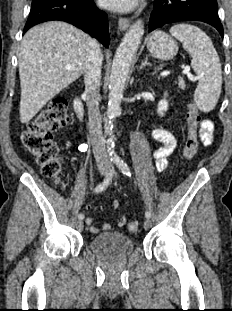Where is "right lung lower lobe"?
Instances as JSON below:
<instances>
[{
  "mask_svg": "<svg viewBox=\"0 0 232 311\" xmlns=\"http://www.w3.org/2000/svg\"><path fill=\"white\" fill-rule=\"evenodd\" d=\"M60 20L88 32L109 46L107 15L92 0H33L24 33L36 24Z\"/></svg>",
  "mask_w": 232,
  "mask_h": 311,
  "instance_id": "1",
  "label": "right lung lower lobe"
}]
</instances>
